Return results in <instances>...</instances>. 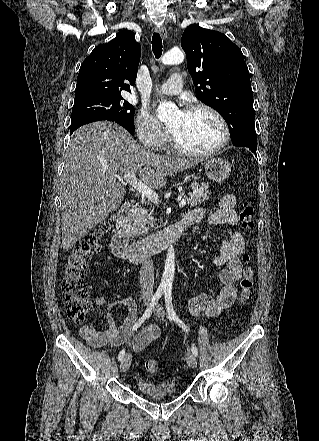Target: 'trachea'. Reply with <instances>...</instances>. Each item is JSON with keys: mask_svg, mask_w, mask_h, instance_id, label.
<instances>
[{"mask_svg": "<svg viewBox=\"0 0 319 441\" xmlns=\"http://www.w3.org/2000/svg\"><path fill=\"white\" fill-rule=\"evenodd\" d=\"M162 39L159 33H154L152 37V50L157 59L162 55Z\"/></svg>", "mask_w": 319, "mask_h": 441, "instance_id": "obj_1", "label": "trachea"}]
</instances>
